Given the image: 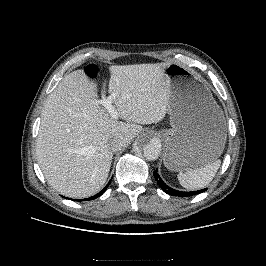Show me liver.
Listing matches in <instances>:
<instances>
[{
    "instance_id": "liver-1",
    "label": "liver",
    "mask_w": 266,
    "mask_h": 266,
    "mask_svg": "<svg viewBox=\"0 0 266 266\" xmlns=\"http://www.w3.org/2000/svg\"><path fill=\"white\" fill-rule=\"evenodd\" d=\"M169 63L110 66L108 93L118 116L100 104L97 84L84 70L66 75L46 99L36 154L47 182L59 193L85 198L99 192L108 178L113 153L107 146L122 136L125 146L142 125L161 121L168 111Z\"/></svg>"
}]
</instances>
